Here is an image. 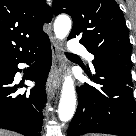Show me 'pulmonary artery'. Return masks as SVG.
I'll use <instances>...</instances> for the list:
<instances>
[{
  "label": "pulmonary artery",
  "mask_w": 136,
  "mask_h": 136,
  "mask_svg": "<svg viewBox=\"0 0 136 136\" xmlns=\"http://www.w3.org/2000/svg\"><path fill=\"white\" fill-rule=\"evenodd\" d=\"M68 48L73 53H79L85 55L88 60H92L94 56L89 53L86 48L76 40H71L68 44Z\"/></svg>",
  "instance_id": "pulmonary-artery-1"
}]
</instances>
